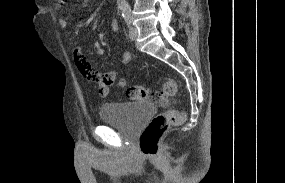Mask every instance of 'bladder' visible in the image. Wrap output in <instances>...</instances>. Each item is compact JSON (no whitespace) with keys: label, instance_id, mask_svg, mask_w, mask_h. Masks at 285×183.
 <instances>
[{"label":"bladder","instance_id":"obj_1","mask_svg":"<svg viewBox=\"0 0 285 183\" xmlns=\"http://www.w3.org/2000/svg\"><path fill=\"white\" fill-rule=\"evenodd\" d=\"M156 113L150 103H109L100 107V119L104 123L119 126L126 133L134 134Z\"/></svg>","mask_w":285,"mask_h":183}]
</instances>
